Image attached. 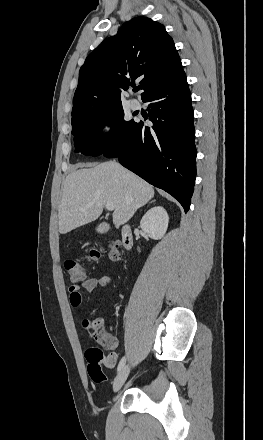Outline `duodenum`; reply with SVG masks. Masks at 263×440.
<instances>
[{"mask_svg":"<svg viewBox=\"0 0 263 440\" xmlns=\"http://www.w3.org/2000/svg\"><path fill=\"white\" fill-rule=\"evenodd\" d=\"M121 244L125 251H130L133 247V236L129 225L121 226Z\"/></svg>","mask_w":263,"mask_h":440,"instance_id":"obj_1","label":"duodenum"}]
</instances>
